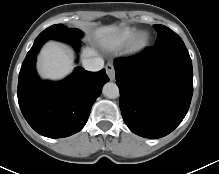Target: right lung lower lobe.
I'll return each instance as SVG.
<instances>
[{
  "instance_id": "obj_1",
  "label": "right lung lower lobe",
  "mask_w": 219,
  "mask_h": 174,
  "mask_svg": "<svg viewBox=\"0 0 219 174\" xmlns=\"http://www.w3.org/2000/svg\"><path fill=\"white\" fill-rule=\"evenodd\" d=\"M79 48L78 41H66ZM42 44L33 45L23 61L18 80V102L28 124L49 138H63L79 132L91 107L109 81L104 69L89 72L78 67L61 82L42 81L35 61Z\"/></svg>"
}]
</instances>
